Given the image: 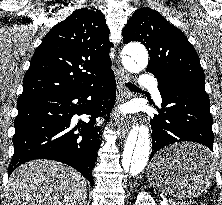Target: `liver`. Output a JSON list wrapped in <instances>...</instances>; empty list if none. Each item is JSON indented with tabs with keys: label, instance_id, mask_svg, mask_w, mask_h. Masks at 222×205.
<instances>
[{
	"label": "liver",
	"instance_id": "6515ba94",
	"mask_svg": "<svg viewBox=\"0 0 222 205\" xmlns=\"http://www.w3.org/2000/svg\"><path fill=\"white\" fill-rule=\"evenodd\" d=\"M7 205H84L85 178L73 168L50 160H33L10 176Z\"/></svg>",
	"mask_w": 222,
	"mask_h": 205
}]
</instances>
